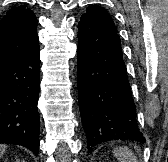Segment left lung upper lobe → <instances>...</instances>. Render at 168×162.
<instances>
[{
  "label": "left lung upper lobe",
  "instance_id": "1",
  "mask_svg": "<svg viewBox=\"0 0 168 162\" xmlns=\"http://www.w3.org/2000/svg\"><path fill=\"white\" fill-rule=\"evenodd\" d=\"M83 15L97 18L100 21H102L103 23H105V24L109 25L110 27H112L114 30H116L114 22L111 19L109 13L102 7L90 6V7L87 8V12L85 14H83Z\"/></svg>",
  "mask_w": 168,
  "mask_h": 162
}]
</instances>
